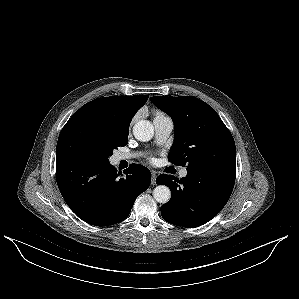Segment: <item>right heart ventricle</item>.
Segmentation results:
<instances>
[{
    "label": "right heart ventricle",
    "instance_id": "obj_1",
    "mask_svg": "<svg viewBox=\"0 0 299 299\" xmlns=\"http://www.w3.org/2000/svg\"><path fill=\"white\" fill-rule=\"evenodd\" d=\"M154 116H155V117H158V116H164V114H163L161 111L156 110V111L154 112Z\"/></svg>",
    "mask_w": 299,
    "mask_h": 299
}]
</instances>
